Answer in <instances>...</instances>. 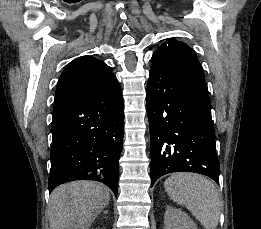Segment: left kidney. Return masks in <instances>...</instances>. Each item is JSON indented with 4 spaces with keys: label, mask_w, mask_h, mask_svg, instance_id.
<instances>
[{
    "label": "left kidney",
    "mask_w": 261,
    "mask_h": 229,
    "mask_svg": "<svg viewBox=\"0 0 261 229\" xmlns=\"http://www.w3.org/2000/svg\"><path fill=\"white\" fill-rule=\"evenodd\" d=\"M164 225L165 229H197L189 215H186L180 209H174V207H167L164 215Z\"/></svg>",
    "instance_id": "obj_1"
}]
</instances>
